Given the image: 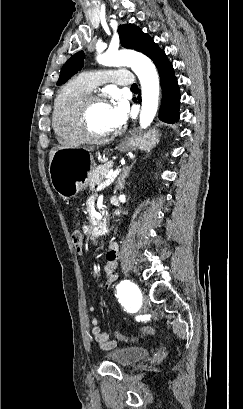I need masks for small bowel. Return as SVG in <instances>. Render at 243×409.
<instances>
[{"label":"small bowel","instance_id":"small-bowel-1","mask_svg":"<svg viewBox=\"0 0 243 409\" xmlns=\"http://www.w3.org/2000/svg\"><path fill=\"white\" fill-rule=\"evenodd\" d=\"M106 258H107V261L105 264V272H106L105 291L108 292L111 284L118 279V273L116 272L117 246L115 244H111L110 251L108 252ZM97 309H98L97 305H92L89 308L91 312H94ZM91 327H92L93 339L99 348L104 349V350H109L116 346L117 341L110 340L109 335L107 333L102 332L100 324H99V320L96 317H93L91 319ZM148 338L149 337L139 335L135 337V339L131 341H125V342L129 344H133L135 342L147 340Z\"/></svg>","mask_w":243,"mask_h":409}]
</instances>
